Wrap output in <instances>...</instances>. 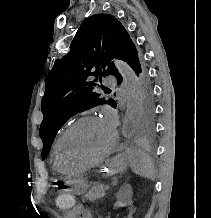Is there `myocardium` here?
Listing matches in <instances>:
<instances>
[{"label": "myocardium", "instance_id": "f54148a6", "mask_svg": "<svg viewBox=\"0 0 211 218\" xmlns=\"http://www.w3.org/2000/svg\"><path fill=\"white\" fill-rule=\"evenodd\" d=\"M94 119H100V117H98L96 115H85V116H82V117L78 118L77 120H75L73 123H71L66 128V130L63 132V134L60 138V141H59V144L57 147V151H56V159L59 160L60 163H63L65 165H67L69 163L68 161H66L62 158V153H61L62 147L65 143V140H66L68 134L75 127H77L79 124H81L85 121L94 120ZM112 133H113L112 143L103 153H101L99 156L95 157L94 159H92L90 161L77 163L76 165L79 166L80 168H88V167L94 166L95 164L99 163L100 161H102L105 158H107L108 156H110L111 153L114 151V149L117 145V141H118L117 131L112 128Z\"/></svg>", "mask_w": 211, "mask_h": 218}]
</instances>
